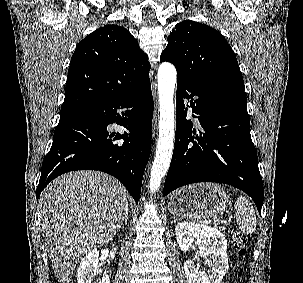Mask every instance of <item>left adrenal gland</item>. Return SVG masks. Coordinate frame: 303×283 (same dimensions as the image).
<instances>
[{
	"label": "left adrenal gland",
	"instance_id": "obj_1",
	"mask_svg": "<svg viewBox=\"0 0 303 283\" xmlns=\"http://www.w3.org/2000/svg\"><path fill=\"white\" fill-rule=\"evenodd\" d=\"M178 220V218H175L173 222H176Z\"/></svg>",
	"mask_w": 303,
	"mask_h": 283
}]
</instances>
